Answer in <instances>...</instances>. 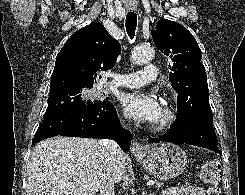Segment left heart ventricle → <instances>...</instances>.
<instances>
[{"label":"left heart ventricle","mask_w":245,"mask_h":195,"mask_svg":"<svg viewBox=\"0 0 245 195\" xmlns=\"http://www.w3.org/2000/svg\"><path fill=\"white\" fill-rule=\"evenodd\" d=\"M161 117H162V110H161V112H160L159 117L157 118V120H156L155 122L159 121V120L161 119Z\"/></svg>","instance_id":"obj_1"}]
</instances>
